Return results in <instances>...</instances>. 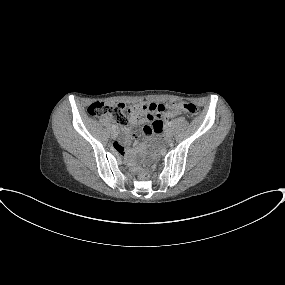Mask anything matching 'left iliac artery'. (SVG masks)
<instances>
[{"instance_id":"1","label":"left iliac artery","mask_w":285,"mask_h":285,"mask_svg":"<svg viewBox=\"0 0 285 285\" xmlns=\"http://www.w3.org/2000/svg\"><path fill=\"white\" fill-rule=\"evenodd\" d=\"M167 125L170 127V126L172 125V123H171V122H168Z\"/></svg>"}]
</instances>
